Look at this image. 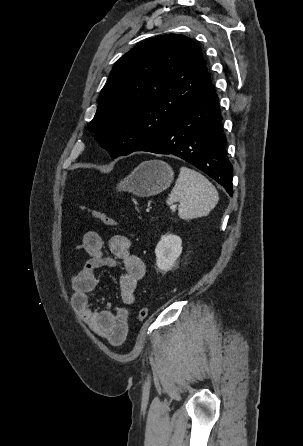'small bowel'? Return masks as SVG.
<instances>
[{"mask_svg": "<svg viewBox=\"0 0 303 446\" xmlns=\"http://www.w3.org/2000/svg\"><path fill=\"white\" fill-rule=\"evenodd\" d=\"M109 254L105 252L104 241L99 233L87 231L76 246L86 260L71 278L73 288L72 304L90 330L106 339L111 345L121 346L128 335V307L135 303V291L146 272L144 261L131 253V242L123 235L110 238ZM122 264L120 275L121 307L113 311L109 306L94 307L91 296L97 288L96 270L103 267H117Z\"/></svg>", "mask_w": 303, "mask_h": 446, "instance_id": "1", "label": "small bowel"}]
</instances>
